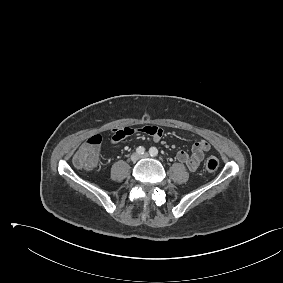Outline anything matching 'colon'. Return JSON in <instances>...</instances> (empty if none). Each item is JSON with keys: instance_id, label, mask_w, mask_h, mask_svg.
<instances>
[{"instance_id": "5ec220e1", "label": "colon", "mask_w": 283, "mask_h": 283, "mask_svg": "<svg viewBox=\"0 0 283 283\" xmlns=\"http://www.w3.org/2000/svg\"><path fill=\"white\" fill-rule=\"evenodd\" d=\"M100 144L99 135L89 138L75 153L73 157L75 166L85 170L93 169L97 163ZM205 167L210 172L216 171L219 167V160L215 156H210L205 162Z\"/></svg>"}]
</instances>
